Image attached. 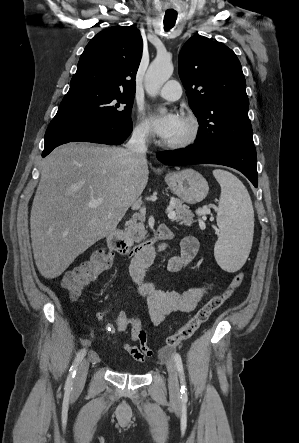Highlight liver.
Instances as JSON below:
<instances>
[{"mask_svg":"<svg viewBox=\"0 0 299 443\" xmlns=\"http://www.w3.org/2000/svg\"><path fill=\"white\" fill-rule=\"evenodd\" d=\"M147 161L122 147L68 143L42 162L30 228L36 266L60 276L77 256L112 233L148 181ZM102 199L97 207L93 200Z\"/></svg>","mask_w":299,"mask_h":443,"instance_id":"6515ba94","label":"liver"}]
</instances>
